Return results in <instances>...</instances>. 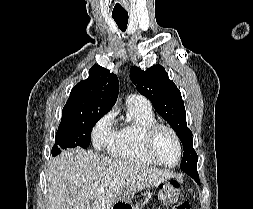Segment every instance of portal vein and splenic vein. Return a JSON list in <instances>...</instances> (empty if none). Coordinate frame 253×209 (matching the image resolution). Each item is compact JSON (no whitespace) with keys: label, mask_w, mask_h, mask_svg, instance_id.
I'll return each mask as SVG.
<instances>
[{"label":"portal vein and splenic vein","mask_w":253,"mask_h":209,"mask_svg":"<svg viewBox=\"0 0 253 209\" xmlns=\"http://www.w3.org/2000/svg\"><path fill=\"white\" fill-rule=\"evenodd\" d=\"M97 191H99V192H105V189L104 188H98Z\"/></svg>","instance_id":"1"}]
</instances>
